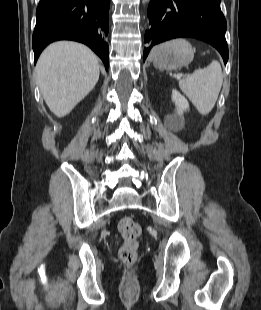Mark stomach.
<instances>
[{
  "mask_svg": "<svg viewBox=\"0 0 261 310\" xmlns=\"http://www.w3.org/2000/svg\"><path fill=\"white\" fill-rule=\"evenodd\" d=\"M195 49L183 39L164 43L153 51V64L160 70H175L190 64Z\"/></svg>",
  "mask_w": 261,
  "mask_h": 310,
  "instance_id": "stomach-1",
  "label": "stomach"
}]
</instances>
